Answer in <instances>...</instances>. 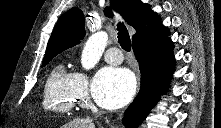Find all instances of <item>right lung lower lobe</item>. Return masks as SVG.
I'll list each match as a JSON object with an SVG mask.
<instances>
[{"mask_svg":"<svg viewBox=\"0 0 221 128\" xmlns=\"http://www.w3.org/2000/svg\"><path fill=\"white\" fill-rule=\"evenodd\" d=\"M141 72V89L125 112L126 128H136L156 105L159 95L165 91L172 79L175 59L170 38L154 44H133Z\"/></svg>","mask_w":221,"mask_h":128,"instance_id":"98d812e1","label":"right lung lower lobe"}]
</instances>
